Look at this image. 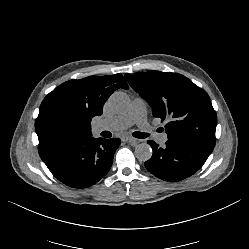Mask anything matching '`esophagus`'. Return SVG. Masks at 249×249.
<instances>
[{
    "mask_svg": "<svg viewBox=\"0 0 249 249\" xmlns=\"http://www.w3.org/2000/svg\"><path fill=\"white\" fill-rule=\"evenodd\" d=\"M121 140L123 142H133L135 139L133 137H131V136H122Z\"/></svg>",
    "mask_w": 249,
    "mask_h": 249,
    "instance_id": "1",
    "label": "esophagus"
}]
</instances>
